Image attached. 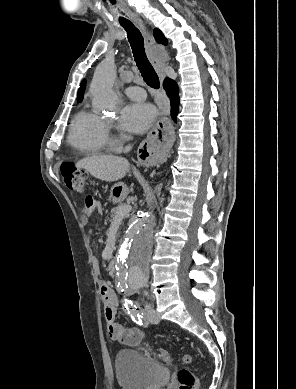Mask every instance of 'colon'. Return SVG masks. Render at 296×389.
I'll return each mask as SVG.
<instances>
[{"instance_id": "obj_1", "label": "colon", "mask_w": 296, "mask_h": 389, "mask_svg": "<svg viewBox=\"0 0 296 389\" xmlns=\"http://www.w3.org/2000/svg\"><path fill=\"white\" fill-rule=\"evenodd\" d=\"M61 173L65 185L73 191L81 192L85 187L86 173L78 168L73 162L63 163L61 166ZM158 356L163 361H169L170 355L168 351L161 349ZM194 358L190 354H184L182 361L184 364H191ZM177 381L179 389H196L197 377L193 371L187 368H181L177 373Z\"/></svg>"}]
</instances>
